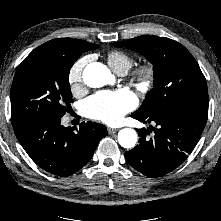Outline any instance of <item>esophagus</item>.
Here are the masks:
<instances>
[{"instance_id": "1", "label": "esophagus", "mask_w": 221, "mask_h": 221, "mask_svg": "<svg viewBox=\"0 0 221 221\" xmlns=\"http://www.w3.org/2000/svg\"><path fill=\"white\" fill-rule=\"evenodd\" d=\"M107 130H108L109 134H113V133H116L118 131V129L110 128V127H108Z\"/></svg>"}]
</instances>
